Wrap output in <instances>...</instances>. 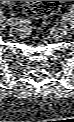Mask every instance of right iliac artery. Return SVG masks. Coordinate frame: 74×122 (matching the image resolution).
I'll list each match as a JSON object with an SVG mask.
<instances>
[{
  "instance_id": "1",
  "label": "right iliac artery",
  "mask_w": 74,
  "mask_h": 122,
  "mask_svg": "<svg viewBox=\"0 0 74 122\" xmlns=\"http://www.w3.org/2000/svg\"><path fill=\"white\" fill-rule=\"evenodd\" d=\"M8 21L10 22L9 24H10L11 26L17 25V20H16V19L11 18V19H9Z\"/></svg>"
}]
</instances>
